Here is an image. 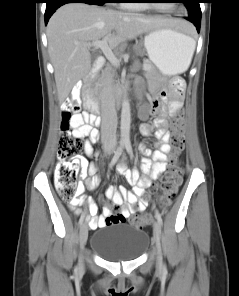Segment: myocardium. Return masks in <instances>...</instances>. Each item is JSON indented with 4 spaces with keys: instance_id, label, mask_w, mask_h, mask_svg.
<instances>
[{
    "instance_id": "1",
    "label": "myocardium",
    "mask_w": 239,
    "mask_h": 296,
    "mask_svg": "<svg viewBox=\"0 0 239 296\" xmlns=\"http://www.w3.org/2000/svg\"><path fill=\"white\" fill-rule=\"evenodd\" d=\"M152 2H153V0H146L145 6H148V7L152 8V9H155V10H158V11H163V12L168 11L167 9H164V8H162V7H160L157 4L152 3Z\"/></svg>"
}]
</instances>
